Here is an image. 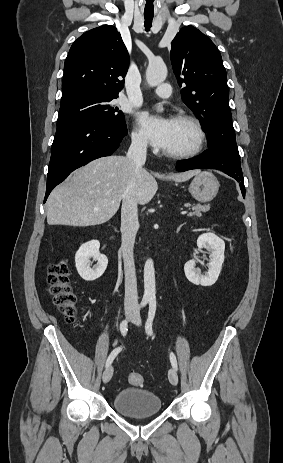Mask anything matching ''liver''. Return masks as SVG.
<instances>
[{
  "label": "liver",
  "mask_w": 283,
  "mask_h": 463,
  "mask_svg": "<svg viewBox=\"0 0 283 463\" xmlns=\"http://www.w3.org/2000/svg\"><path fill=\"white\" fill-rule=\"evenodd\" d=\"M199 170L163 175L142 168L137 176L136 199L140 205L151 201L158 190L155 177L184 182ZM133 177L124 156L96 159L75 170L57 186L47 200L49 225L94 226L107 222L118 211L126 187Z\"/></svg>",
  "instance_id": "liver-1"
}]
</instances>
